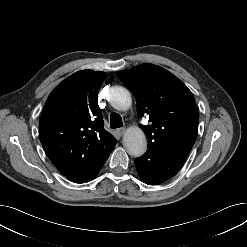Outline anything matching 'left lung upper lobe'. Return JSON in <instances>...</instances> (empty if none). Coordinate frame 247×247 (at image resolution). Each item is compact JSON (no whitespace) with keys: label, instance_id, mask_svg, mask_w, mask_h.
Listing matches in <instances>:
<instances>
[{"label":"left lung upper lobe","instance_id":"1","mask_svg":"<svg viewBox=\"0 0 247 247\" xmlns=\"http://www.w3.org/2000/svg\"><path fill=\"white\" fill-rule=\"evenodd\" d=\"M117 77L135 96L139 117L149 116L151 125L141 126L148 148L180 145L192 149L199 115L195 99L182 81L153 64L119 71Z\"/></svg>","mask_w":247,"mask_h":247}]
</instances>
